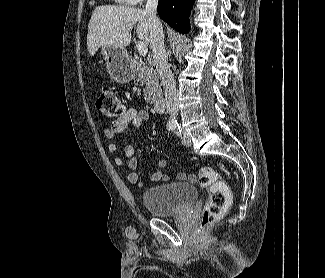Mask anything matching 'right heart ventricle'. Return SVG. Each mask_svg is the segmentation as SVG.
<instances>
[{"label": "right heart ventricle", "instance_id": "right-heart-ventricle-1", "mask_svg": "<svg viewBox=\"0 0 325 278\" xmlns=\"http://www.w3.org/2000/svg\"><path fill=\"white\" fill-rule=\"evenodd\" d=\"M116 1L123 2V3H129L128 0H116Z\"/></svg>", "mask_w": 325, "mask_h": 278}]
</instances>
